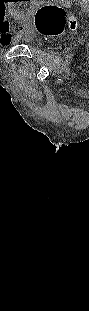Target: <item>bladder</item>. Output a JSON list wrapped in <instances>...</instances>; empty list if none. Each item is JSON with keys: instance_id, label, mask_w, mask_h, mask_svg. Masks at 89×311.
Segmentation results:
<instances>
[{"instance_id": "31cf9c89", "label": "bladder", "mask_w": 89, "mask_h": 311, "mask_svg": "<svg viewBox=\"0 0 89 311\" xmlns=\"http://www.w3.org/2000/svg\"><path fill=\"white\" fill-rule=\"evenodd\" d=\"M25 43H26L27 45L31 46V47H32V46H35V44H34L32 41H26Z\"/></svg>"}]
</instances>
